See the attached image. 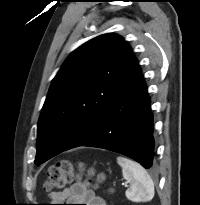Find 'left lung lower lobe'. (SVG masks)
<instances>
[{
  "label": "left lung lower lobe",
  "instance_id": "0a47b994",
  "mask_svg": "<svg viewBox=\"0 0 200 205\" xmlns=\"http://www.w3.org/2000/svg\"><path fill=\"white\" fill-rule=\"evenodd\" d=\"M153 116L142 72L132 57L116 93L88 138L79 146L111 150L154 165Z\"/></svg>",
  "mask_w": 200,
  "mask_h": 205
}]
</instances>
